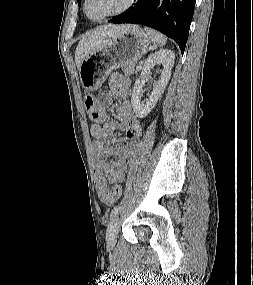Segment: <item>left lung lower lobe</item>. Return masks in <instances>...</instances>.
Segmentation results:
<instances>
[{
    "label": "left lung lower lobe",
    "instance_id": "obj_1",
    "mask_svg": "<svg viewBox=\"0 0 253 285\" xmlns=\"http://www.w3.org/2000/svg\"><path fill=\"white\" fill-rule=\"evenodd\" d=\"M196 0H138L109 22L142 24L177 42L184 53Z\"/></svg>",
    "mask_w": 253,
    "mask_h": 285
}]
</instances>
